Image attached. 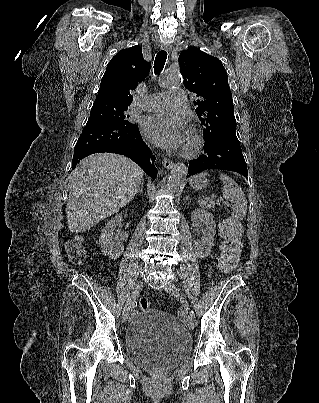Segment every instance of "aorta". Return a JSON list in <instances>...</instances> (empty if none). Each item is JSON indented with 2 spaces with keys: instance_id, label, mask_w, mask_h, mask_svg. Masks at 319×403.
I'll list each match as a JSON object with an SVG mask.
<instances>
[{
  "instance_id": "aorta-1",
  "label": "aorta",
  "mask_w": 319,
  "mask_h": 403,
  "mask_svg": "<svg viewBox=\"0 0 319 403\" xmlns=\"http://www.w3.org/2000/svg\"><path fill=\"white\" fill-rule=\"evenodd\" d=\"M161 84L164 87H178L181 85V79L178 74L166 73L161 77ZM186 176V165L184 163H177L171 171L168 188L172 191L179 190L184 185Z\"/></svg>"
}]
</instances>
